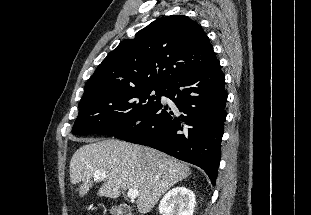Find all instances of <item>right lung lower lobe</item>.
Segmentation results:
<instances>
[{
    "instance_id": "obj_1",
    "label": "right lung lower lobe",
    "mask_w": 311,
    "mask_h": 215,
    "mask_svg": "<svg viewBox=\"0 0 311 215\" xmlns=\"http://www.w3.org/2000/svg\"><path fill=\"white\" fill-rule=\"evenodd\" d=\"M225 77L217 59L212 64L169 81L161 103L138 124L114 137L150 146L202 168L215 184L226 119Z\"/></svg>"
}]
</instances>
